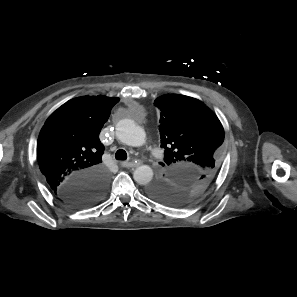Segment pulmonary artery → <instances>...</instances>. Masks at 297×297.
Wrapping results in <instances>:
<instances>
[{
  "label": "pulmonary artery",
  "mask_w": 297,
  "mask_h": 297,
  "mask_svg": "<svg viewBox=\"0 0 297 297\" xmlns=\"http://www.w3.org/2000/svg\"><path fill=\"white\" fill-rule=\"evenodd\" d=\"M123 141L128 142L129 140L127 138H122Z\"/></svg>",
  "instance_id": "1"
}]
</instances>
